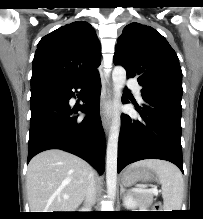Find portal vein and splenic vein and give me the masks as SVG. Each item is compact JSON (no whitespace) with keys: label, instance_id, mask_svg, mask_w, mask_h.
<instances>
[{"label":"portal vein and splenic vein","instance_id":"18ae733b","mask_svg":"<svg viewBox=\"0 0 203 219\" xmlns=\"http://www.w3.org/2000/svg\"><path fill=\"white\" fill-rule=\"evenodd\" d=\"M132 191L137 192V193H153L155 195L158 194V190L153 188V189H143V188H134ZM68 196H64V199H68Z\"/></svg>","mask_w":203,"mask_h":219}]
</instances>
